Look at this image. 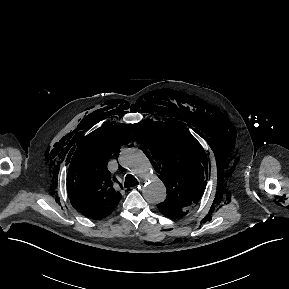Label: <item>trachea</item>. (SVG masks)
Segmentation results:
<instances>
[{
    "label": "trachea",
    "mask_w": 289,
    "mask_h": 289,
    "mask_svg": "<svg viewBox=\"0 0 289 289\" xmlns=\"http://www.w3.org/2000/svg\"><path fill=\"white\" fill-rule=\"evenodd\" d=\"M136 185H138L137 179H136L133 175L128 174V175L125 177L124 186H125L126 188H129V187L136 186Z\"/></svg>",
    "instance_id": "trachea-1"
}]
</instances>
